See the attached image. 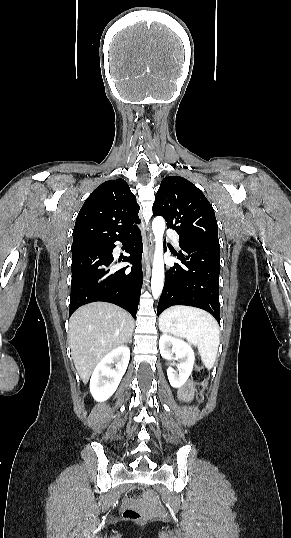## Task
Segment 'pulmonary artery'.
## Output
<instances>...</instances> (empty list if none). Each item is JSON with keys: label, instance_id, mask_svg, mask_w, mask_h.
<instances>
[{"label": "pulmonary artery", "instance_id": "obj_1", "mask_svg": "<svg viewBox=\"0 0 291 538\" xmlns=\"http://www.w3.org/2000/svg\"><path fill=\"white\" fill-rule=\"evenodd\" d=\"M167 236L173 241V243H174V245L176 247H179L180 237H179L177 232H175L173 230H168L167 231Z\"/></svg>", "mask_w": 291, "mask_h": 538}]
</instances>
